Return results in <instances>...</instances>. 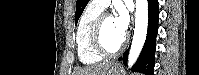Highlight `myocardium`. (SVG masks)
Here are the masks:
<instances>
[{"mask_svg":"<svg viewBox=\"0 0 199 75\" xmlns=\"http://www.w3.org/2000/svg\"><path fill=\"white\" fill-rule=\"evenodd\" d=\"M107 17H111L108 13H101L93 23L90 31V41L93 49L101 56H112L119 53L126 45L127 39L123 38L122 42L115 49H108L102 42V26Z\"/></svg>","mask_w":199,"mask_h":75,"instance_id":"1","label":"myocardium"}]
</instances>
